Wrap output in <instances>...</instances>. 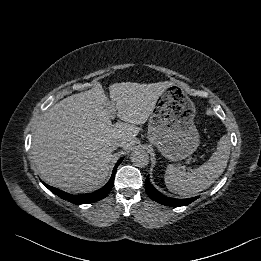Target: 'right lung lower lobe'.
<instances>
[{
  "mask_svg": "<svg viewBox=\"0 0 261 261\" xmlns=\"http://www.w3.org/2000/svg\"><path fill=\"white\" fill-rule=\"evenodd\" d=\"M122 160H123V158H121L116 163V165L113 169V172H112V176H111L110 180L108 181V183L105 186H103L101 189H99L98 191L93 192V193H88V194H83V195H72V194L60 191L59 189L51 187L45 183H44V185L54 194L58 195L59 197H61L64 200H68L74 204H86V203L96 202L98 200L105 198L108 195V193L111 191L113 183H114L116 169H117L118 165L122 162Z\"/></svg>",
  "mask_w": 261,
  "mask_h": 261,
  "instance_id": "1",
  "label": "right lung lower lobe"
}]
</instances>
